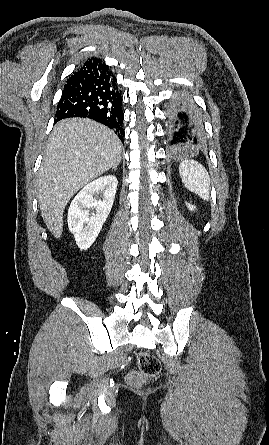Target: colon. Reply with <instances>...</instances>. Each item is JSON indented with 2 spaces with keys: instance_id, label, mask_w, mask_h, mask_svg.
Listing matches in <instances>:
<instances>
[{
  "instance_id": "colon-1",
  "label": "colon",
  "mask_w": 269,
  "mask_h": 445,
  "mask_svg": "<svg viewBox=\"0 0 269 445\" xmlns=\"http://www.w3.org/2000/svg\"><path fill=\"white\" fill-rule=\"evenodd\" d=\"M137 362L139 369L131 371L127 375V381L132 386H139L160 373L161 364L159 360L148 352L138 353Z\"/></svg>"
}]
</instances>
